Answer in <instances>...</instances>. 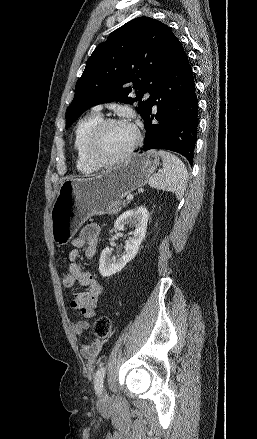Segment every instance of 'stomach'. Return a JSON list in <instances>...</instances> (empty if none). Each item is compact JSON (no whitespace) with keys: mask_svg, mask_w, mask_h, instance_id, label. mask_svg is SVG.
<instances>
[{"mask_svg":"<svg viewBox=\"0 0 257 439\" xmlns=\"http://www.w3.org/2000/svg\"><path fill=\"white\" fill-rule=\"evenodd\" d=\"M158 165L159 154L149 150L97 176L63 181L50 212L54 242L67 244L89 217L106 214L125 195L147 184Z\"/></svg>","mask_w":257,"mask_h":439,"instance_id":"obj_1","label":"stomach"}]
</instances>
